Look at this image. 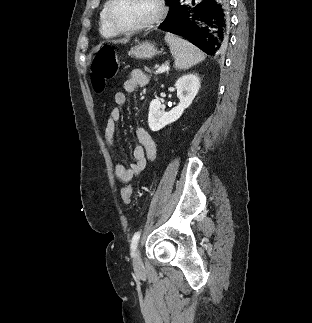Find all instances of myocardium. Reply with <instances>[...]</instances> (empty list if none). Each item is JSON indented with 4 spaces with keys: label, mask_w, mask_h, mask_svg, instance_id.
Here are the masks:
<instances>
[{
    "label": "myocardium",
    "mask_w": 312,
    "mask_h": 323,
    "mask_svg": "<svg viewBox=\"0 0 312 323\" xmlns=\"http://www.w3.org/2000/svg\"><path fill=\"white\" fill-rule=\"evenodd\" d=\"M107 8L104 12L106 21L110 23V31H146V20H120L115 13L120 0H108ZM157 6L154 8L153 18L149 19L150 25H158L159 21H164L167 16V1L152 0Z\"/></svg>",
    "instance_id": "f54148a6"
}]
</instances>
